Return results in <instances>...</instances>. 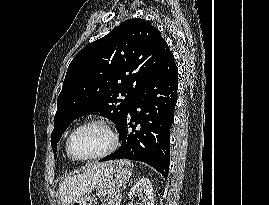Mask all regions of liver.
Returning <instances> with one entry per match:
<instances>
[{
  "label": "liver",
  "mask_w": 269,
  "mask_h": 205,
  "mask_svg": "<svg viewBox=\"0 0 269 205\" xmlns=\"http://www.w3.org/2000/svg\"><path fill=\"white\" fill-rule=\"evenodd\" d=\"M108 162L92 163L83 173L71 176L59 184V195L62 205H70L72 201L92 192L100 182Z\"/></svg>",
  "instance_id": "1"
}]
</instances>
